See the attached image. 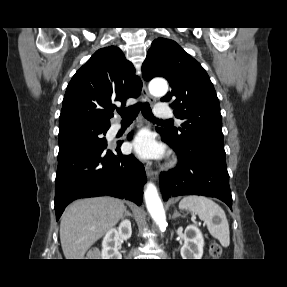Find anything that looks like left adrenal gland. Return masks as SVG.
Listing matches in <instances>:
<instances>
[{
	"instance_id": "1",
	"label": "left adrenal gland",
	"mask_w": 287,
	"mask_h": 287,
	"mask_svg": "<svg viewBox=\"0 0 287 287\" xmlns=\"http://www.w3.org/2000/svg\"><path fill=\"white\" fill-rule=\"evenodd\" d=\"M179 216H181V214L177 210H175L172 218L175 219L176 217H179Z\"/></svg>"
}]
</instances>
